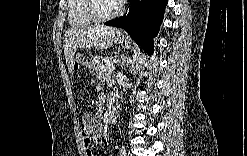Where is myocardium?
Returning <instances> with one entry per match:
<instances>
[{
    "mask_svg": "<svg viewBox=\"0 0 247 156\" xmlns=\"http://www.w3.org/2000/svg\"><path fill=\"white\" fill-rule=\"evenodd\" d=\"M97 2L98 1L95 0H88L85 2V13L94 23H104L110 21L112 19H115L122 13L121 4H117L114 12H112L111 14L99 15L96 12V7H95Z\"/></svg>",
    "mask_w": 247,
    "mask_h": 156,
    "instance_id": "myocardium-1",
    "label": "myocardium"
}]
</instances>
